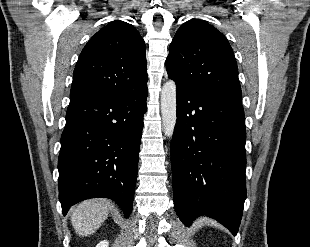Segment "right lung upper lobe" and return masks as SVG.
<instances>
[{"label":"right lung upper lobe","mask_w":310,"mask_h":247,"mask_svg":"<svg viewBox=\"0 0 310 247\" xmlns=\"http://www.w3.org/2000/svg\"><path fill=\"white\" fill-rule=\"evenodd\" d=\"M145 43L129 23L116 20L100 29L77 61L70 103L133 93L147 86Z\"/></svg>","instance_id":"1"}]
</instances>
